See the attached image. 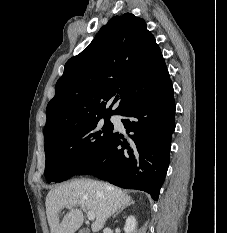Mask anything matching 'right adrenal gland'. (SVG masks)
Returning a JSON list of instances; mask_svg holds the SVG:
<instances>
[{"label": "right adrenal gland", "mask_w": 227, "mask_h": 233, "mask_svg": "<svg viewBox=\"0 0 227 233\" xmlns=\"http://www.w3.org/2000/svg\"><path fill=\"white\" fill-rule=\"evenodd\" d=\"M132 203H134V202H132ZM124 209H125V208L123 207V208H121L120 210H118V211L116 212V214L113 216V218H115L118 214H120Z\"/></svg>", "instance_id": "obj_1"}]
</instances>
